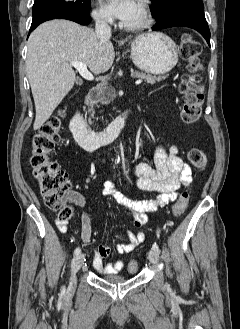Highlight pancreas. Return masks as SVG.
<instances>
[{"label": "pancreas", "mask_w": 240, "mask_h": 329, "mask_svg": "<svg viewBox=\"0 0 240 329\" xmlns=\"http://www.w3.org/2000/svg\"><path fill=\"white\" fill-rule=\"evenodd\" d=\"M132 76L133 77H136V78L144 79L149 84H154V83L159 82V81H161V80H163V79L166 78V76H158V77H156V76H152L150 74H146V73H143V72H134L132 74ZM97 98H100V93H99V96ZM99 101H101L103 104L109 103V100L105 96H102V98H100ZM95 103H97V101L94 100V99H89V101H88V105L91 107V109L89 110V112L92 111V113H91V116L92 117L94 115L93 105Z\"/></svg>", "instance_id": "1"}]
</instances>
